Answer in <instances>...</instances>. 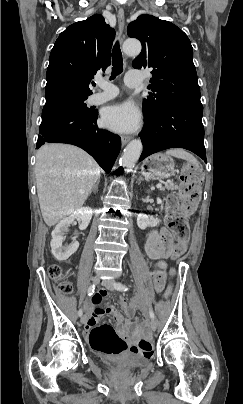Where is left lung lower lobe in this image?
I'll use <instances>...</instances> for the list:
<instances>
[{"label":"left lung lower lobe","mask_w":243,"mask_h":404,"mask_svg":"<svg viewBox=\"0 0 243 404\" xmlns=\"http://www.w3.org/2000/svg\"><path fill=\"white\" fill-rule=\"evenodd\" d=\"M202 115V104L176 102L167 105L153 120H145L140 133L143 142L140 161L175 147L190 150L207 162Z\"/></svg>","instance_id":"0a47b994"}]
</instances>
